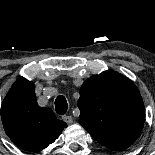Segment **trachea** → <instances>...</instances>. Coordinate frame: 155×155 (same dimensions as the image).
Wrapping results in <instances>:
<instances>
[{
  "instance_id": "trachea-1",
  "label": "trachea",
  "mask_w": 155,
  "mask_h": 155,
  "mask_svg": "<svg viewBox=\"0 0 155 155\" xmlns=\"http://www.w3.org/2000/svg\"><path fill=\"white\" fill-rule=\"evenodd\" d=\"M55 109L56 112L60 115H63L66 113L68 109V104L64 96H58L55 100Z\"/></svg>"
}]
</instances>
